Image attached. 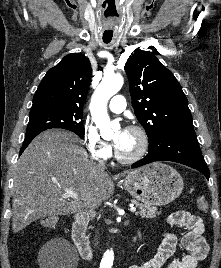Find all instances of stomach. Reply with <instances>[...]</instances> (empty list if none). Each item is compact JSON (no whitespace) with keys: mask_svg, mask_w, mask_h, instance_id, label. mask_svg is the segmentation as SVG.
Listing matches in <instances>:
<instances>
[{"mask_svg":"<svg viewBox=\"0 0 221 268\" xmlns=\"http://www.w3.org/2000/svg\"><path fill=\"white\" fill-rule=\"evenodd\" d=\"M126 190L147 206H163L179 197L183 190L181 175L171 166L156 162L127 172Z\"/></svg>","mask_w":221,"mask_h":268,"instance_id":"1","label":"stomach"}]
</instances>
